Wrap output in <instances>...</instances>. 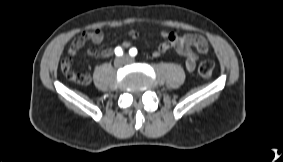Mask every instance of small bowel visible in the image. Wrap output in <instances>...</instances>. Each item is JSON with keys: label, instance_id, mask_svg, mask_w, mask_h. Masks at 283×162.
<instances>
[{"label": "small bowel", "instance_id": "1", "mask_svg": "<svg viewBox=\"0 0 283 162\" xmlns=\"http://www.w3.org/2000/svg\"><path fill=\"white\" fill-rule=\"evenodd\" d=\"M163 42L153 51V56L158 57L167 51L174 49L185 59V68L193 71L198 62L199 54L208 53V43L200 34L178 35L173 32L162 31ZM104 39L103 32L99 29L83 32L71 44L69 48V58L61 63V70L66 74H74L71 70L72 58L75 57L87 41L100 44ZM138 39L135 31L129 32V39L124 42V47H129L131 43ZM87 54L94 58H107L111 56L112 50H88Z\"/></svg>", "mask_w": 283, "mask_h": 162}]
</instances>
